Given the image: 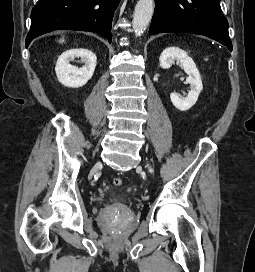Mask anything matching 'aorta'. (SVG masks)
<instances>
[{"instance_id":"obj_1","label":"aorta","mask_w":255,"mask_h":272,"mask_svg":"<svg viewBox=\"0 0 255 272\" xmlns=\"http://www.w3.org/2000/svg\"><path fill=\"white\" fill-rule=\"evenodd\" d=\"M154 11V0H139L135 6L132 25L134 32L140 36L149 25Z\"/></svg>"}]
</instances>
